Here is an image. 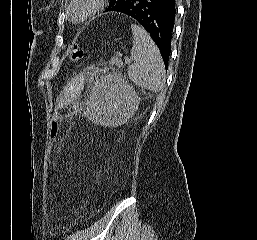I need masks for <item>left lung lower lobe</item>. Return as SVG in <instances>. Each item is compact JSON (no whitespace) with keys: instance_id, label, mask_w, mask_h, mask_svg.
Returning a JSON list of instances; mask_svg holds the SVG:
<instances>
[{"instance_id":"0a47b994","label":"left lung lower lobe","mask_w":257,"mask_h":240,"mask_svg":"<svg viewBox=\"0 0 257 240\" xmlns=\"http://www.w3.org/2000/svg\"><path fill=\"white\" fill-rule=\"evenodd\" d=\"M107 11L126 14L139 22L158 46L167 69L176 14L175 0H124Z\"/></svg>"}]
</instances>
